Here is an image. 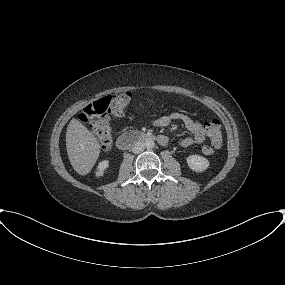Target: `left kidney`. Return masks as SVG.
<instances>
[{"label":"left kidney","instance_id":"1","mask_svg":"<svg viewBox=\"0 0 285 285\" xmlns=\"http://www.w3.org/2000/svg\"><path fill=\"white\" fill-rule=\"evenodd\" d=\"M186 161L189 168L195 172H203L209 167V161L200 155H190Z\"/></svg>","mask_w":285,"mask_h":285}]
</instances>
